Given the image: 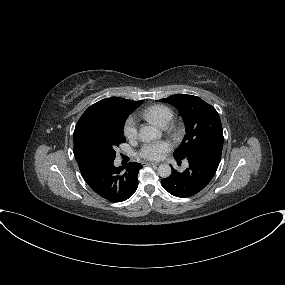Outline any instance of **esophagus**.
I'll list each match as a JSON object with an SVG mask.
<instances>
[{
    "label": "esophagus",
    "mask_w": 285,
    "mask_h": 285,
    "mask_svg": "<svg viewBox=\"0 0 285 285\" xmlns=\"http://www.w3.org/2000/svg\"><path fill=\"white\" fill-rule=\"evenodd\" d=\"M145 166H151V165H155V166H158L159 163H153V162H145L144 163Z\"/></svg>",
    "instance_id": "1"
}]
</instances>
